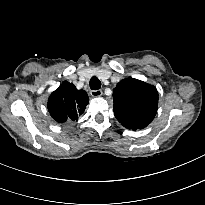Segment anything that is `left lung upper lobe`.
I'll return each mask as SVG.
<instances>
[{"mask_svg": "<svg viewBox=\"0 0 205 205\" xmlns=\"http://www.w3.org/2000/svg\"><path fill=\"white\" fill-rule=\"evenodd\" d=\"M114 114L126 128L136 131L152 122L157 112V89L141 80L126 78L114 88Z\"/></svg>", "mask_w": 205, "mask_h": 205, "instance_id": "1", "label": "left lung upper lobe"}]
</instances>
